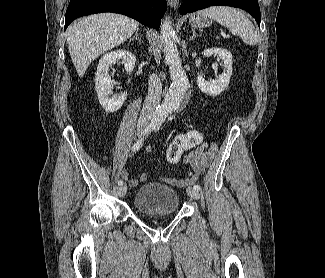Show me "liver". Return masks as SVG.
Segmentation results:
<instances>
[{
  "label": "liver",
  "instance_id": "6515ba94",
  "mask_svg": "<svg viewBox=\"0 0 325 278\" xmlns=\"http://www.w3.org/2000/svg\"><path fill=\"white\" fill-rule=\"evenodd\" d=\"M138 29V22L115 13H100L80 19L67 32V44L77 73L82 77L91 62L122 44Z\"/></svg>",
  "mask_w": 325,
  "mask_h": 278
}]
</instances>
